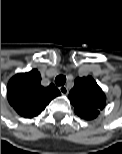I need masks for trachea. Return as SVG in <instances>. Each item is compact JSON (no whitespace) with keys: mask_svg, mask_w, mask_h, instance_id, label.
Here are the masks:
<instances>
[{"mask_svg":"<svg viewBox=\"0 0 122 154\" xmlns=\"http://www.w3.org/2000/svg\"><path fill=\"white\" fill-rule=\"evenodd\" d=\"M66 83V76L59 75L55 79V84L58 86H63Z\"/></svg>","mask_w":122,"mask_h":154,"instance_id":"1","label":"trachea"}]
</instances>
